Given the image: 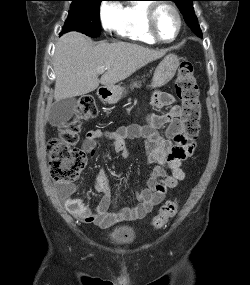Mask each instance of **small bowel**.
I'll use <instances>...</instances> for the list:
<instances>
[{"mask_svg": "<svg viewBox=\"0 0 250 285\" xmlns=\"http://www.w3.org/2000/svg\"><path fill=\"white\" fill-rule=\"evenodd\" d=\"M172 101V96L165 92H155L152 96V104L157 108L167 107ZM179 110V107H173L167 113L152 114L148 117L147 125L144 126L134 124L114 130H89L82 144L85 153L94 154L97 140L106 137L113 142L117 153L127 157L126 142L143 139L146 160L154 167L147 180V187L137 195L139 204L134 207H124L117 212L109 210L111 188L103 169H100L95 176L94 188L101 194V198L93 208L74 196L77 191L74 184L58 183L57 192L67 211L84 223L103 228L124 221L139 220L150 213L165 198L168 190L175 188L185 178L182 162L194 150V144L184 137ZM164 126H166V133L163 136L158 130Z\"/></svg>", "mask_w": 250, "mask_h": 285, "instance_id": "c3829d8e", "label": "small bowel"}]
</instances>
